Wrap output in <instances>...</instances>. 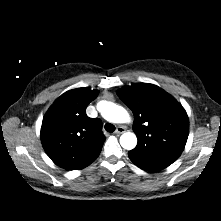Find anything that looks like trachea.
<instances>
[{
    "instance_id": "3493384b",
    "label": "trachea",
    "mask_w": 221,
    "mask_h": 221,
    "mask_svg": "<svg viewBox=\"0 0 221 221\" xmlns=\"http://www.w3.org/2000/svg\"><path fill=\"white\" fill-rule=\"evenodd\" d=\"M105 130L107 131V132H114L115 131V126L113 125V124H111V123H106L105 124Z\"/></svg>"
}]
</instances>
